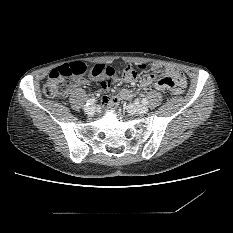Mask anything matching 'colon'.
<instances>
[{
  "label": "colon",
  "mask_w": 233,
  "mask_h": 233,
  "mask_svg": "<svg viewBox=\"0 0 233 233\" xmlns=\"http://www.w3.org/2000/svg\"><path fill=\"white\" fill-rule=\"evenodd\" d=\"M141 69H147L142 65ZM115 73L114 67L104 64H88L82 61L72 62L50 72L44 86V94L47 97H61L69 93L75 84V79L84 75H91L97 78H108ZM124 81H131L136 76L133 67L127 66L121 72ZM182 89L174 90V94H180Z\"/></svg>",
  "instance_id": "5ec220e1"
}]
</instances>
